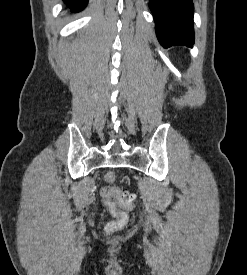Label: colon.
Listing matches in <instances>:
<instances>
[{"label": "colon", "mask_w": 247, "mask_h": 275, "mask_svg": "<svg viewBox=\"0 0 247 275\" xmlns=\"http://www.w3.org/2000/svg\"><path fill=\"white\" fill-rule=\"evenodd\" d=\"M104 178L109 184L115 181L113 173H107ZM101 196L114 216V219L106 224L105 231L113 233L122 229L128 223V211H131L135 206V195L128 194L117 187L107 185L101 188Z\"/></svg>", "instance_id": "colon-1"}]
</instances>
